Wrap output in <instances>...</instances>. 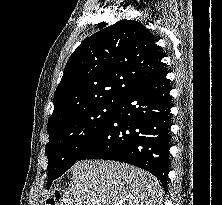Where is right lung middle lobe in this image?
I'll list each match as a JSON object with an SVG mask.
<instances>
[{
    "label": "right lung middle lobe",
    "instance_id": "dd1d6c3e",
    "mask_svg": "<svg viewBox=\"0 0 222 205\" xmlns=\"http://www.w3.org/2000/svg\"><path fill=\"white\" fill-rule=\"evenodd\" d=\"M119 104L120 101L91 105L47 126V188L54 179L79 160L88 144L108 123Z\"/></svg>",
    "mask_w": 222,
    "mask_h": 205
}]
</instances>
